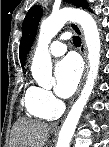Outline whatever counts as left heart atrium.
I'll list each match as a JSON object with an SVG mask.
<instances>
[{
	"instance_id": "39dd6f15",
	"label": "left heart atrium",
	"mask_w": 109,
	"mask_h": 147,
	"mask_svg": "<svg viewBox=\"0 0 109 147\" xmlns=\"http://www.w3.org/2000/svg\"><path fill=\"white\" fill-rule=\"evenodd\" d=\"M55 93L62 97H70L77 88L80 76L81 65L75 55H68L55 67Z\"/></svg>"
}]
</instances>
